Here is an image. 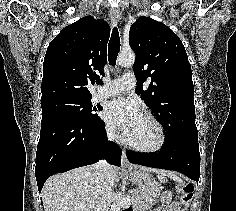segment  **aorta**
Listing matches in <instances>:
<instances>
[{
  "mask_svg": "<svg viewBox=\"0 0 236 211\" xmlns=\"http://www.w3.org/2000/svg\"><path fill=\"white\" fill-rule=\"evenodd\" d=\"M135 62V54L133 52H121L117 57V64L121 67L132 66ZM121 206L119 202H114L111 206V211H120Z\"/></svg>",
  "mask_w": 236,
  "mask_h": 211,
  "instance_id": "obj_1",
  "label": "aorta"
}]
</instances>
